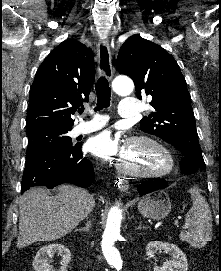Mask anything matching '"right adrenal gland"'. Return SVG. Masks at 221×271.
<instances>
[{"instance_id":"2a0ac1e0","label":"right adrenal gland","mask_w":221,"mask_h":271,"mask_svg":"<svg viewBox=\"0 0 221 271\" xmlns=\"http://www.w3.org/2000/svg\"><path fill=\"white\" fill-rule=\"evenodd\" d=\"M90 227H91V221L87 217L85 227H81V231H90Z\"/></svg>"}]
</instances>
